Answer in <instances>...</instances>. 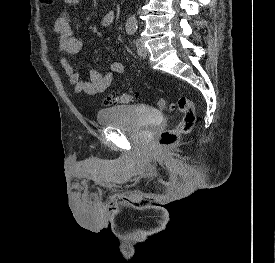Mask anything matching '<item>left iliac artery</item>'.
<instances>
[{"label": "left iliac artery", "instance_id": "left-iliac-artery-1", "mask_svg": "<svg viewBox=\"0 0 275 263\" xmlns=\"http://www.w3.org/2000/svg\"><path fill=\"white\" fill-rule=\"evenodd\" d=\"M126 30H127V33L129 35H132V34H134L136 32L137 27H135V26H128Z\"/></svg>", "mask_w": 275, "mask_h": 263}]
</instances>
